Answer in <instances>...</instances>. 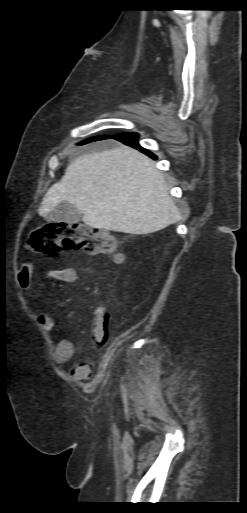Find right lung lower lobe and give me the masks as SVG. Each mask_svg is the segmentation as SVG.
Instances as JSON below:
<instances>
[{
  "label": "right lung lower lobe",
  "mask_w": 247,
  "mask_h": 513,
  "mask_svg": "<svg viewBox=\"0 0 247 513\" xmlns=\"http://www.w3.org/2000/svg\"><path fill=\"white\" fill-rule=\"evenodd\" d=\"M107 138L117 139V140H119V141H121V142H123V143H125V144H127L129 146H132V147H134L136 149H139L140 151H142L143 153L147 154L151 158L156 159V156H154L151 152L143 149L139 145V143H138V135L136 133H121V134H118V135L109 136ZM103 139H106V137L103 138Z\"/></svg>",
  "instance_id": "1"
}]
</instances>
